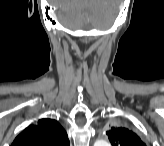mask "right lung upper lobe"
Here are the masks:
<instances>
[{"mask_svg":"<svg viewBox=\"0 0 164 146\" xmlns=\"http://www.w3.org/2000/svg\"><path fill=\"white\" fill-rule=\"evenodd\" d=\"M66 131L55 120L41 119L30 125L14 140L12 146H69Z\"/></svg>","mask_w":164,"mask_h":146,"instance_id":"right-lung-upper-lobe-1","label":"right lung upper lobe"}]
</instances>
